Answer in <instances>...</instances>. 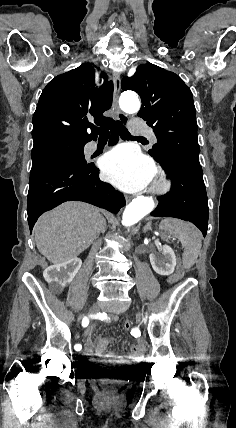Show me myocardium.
I'll return each instance as SVG.
<instances>
[{
    "label": "myocardium",
    "instance_id": "obj_1",
    "mask_svg": "<svg viewBox=\"0 0 236 428\" xmlns=\"http://www.w3.org/2000/svg\"><path fill=\"white\" fill-rule=\"evenodd\" d=\"M173 189V183L169 179L167 172L162 168L154 169V178L150 185L149 192L155 197H162L169 194Z\"/></svg>",
    "mask_w": 236,
    "mask_h": 428
}]
</instances>
